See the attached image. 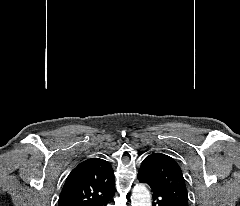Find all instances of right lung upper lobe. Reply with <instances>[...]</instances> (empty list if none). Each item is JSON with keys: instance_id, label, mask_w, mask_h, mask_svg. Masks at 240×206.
Segmentation results:
<instances>
[{"instance_id": "right-lung-upper-lobe-1", "label": "right lung upper lobe", "mask_w": 240, "mask_h": 206, "mask_svg": "<svg viewBox=\"0 0 240 206\" xmlns=\"http://www.w3.org/2000/svg\"><path fill=\"white\" fill-rule=\"evenodd\" d=\"M114 192V173L110 164L100 158H91L72 170L58 206H94Z\"/></svg>"}]
</instances>
